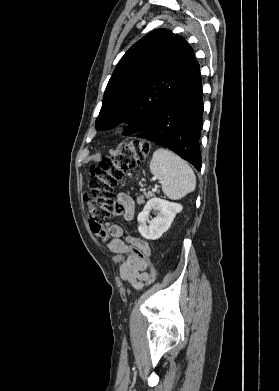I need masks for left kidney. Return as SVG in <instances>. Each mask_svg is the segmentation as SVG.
<instances>
[{"instance_id":"5707ae66","label":"left kidney","mask_w":279,"mask_h":391,"mask_svg":"<svg viewBox=\"0 0 279 391\" xmlns=\"http://www.w3.org/2000/svg\"><path fill=\"white\" fill-rule=\"evenodd\" d=\"M182 209L181 204L161 198H152L146 203L143 211L137 217L139 223L138 231L145 239H159L170 228L176 214L181 212ZM152 210L155 211V217L149 220Z\"/></svg>"}]
</instances>
